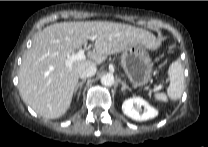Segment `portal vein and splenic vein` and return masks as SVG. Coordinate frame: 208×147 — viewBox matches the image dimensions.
<instances>
[{
	"instance_id": "1",
	"label": "portal vein and splenic vein",
	"mask_w": 208,
	"mask_h": 147,
	"mask_svg": "<svg viewBox=\"0 0 208 147\" xmlns=\"http://www.w3.org/2000/svg\"><path fill=\"white\" fill-rule=\"evenodd\" d=\"M90 40L95 41V36H90ZM85 58H86L85 51L81 49L77 53L68 54L65 63L68 68H71L75 61H82Z\"/></svg>"
}]
</instances>
